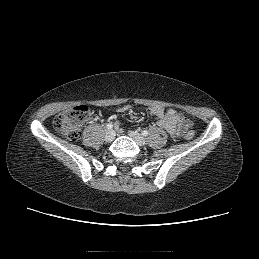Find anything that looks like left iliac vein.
Returning a JSON list of instances; mask_svg holds the SVG:
<instances>
[{
	"mask_svg": "<svg viewBox=\"0 0 259 259\" xmlns=\"http://www.w3.org/2000/svg\"><path fill=\"white\" fill-rule=\"evenodd\" d=\"M128 134L138 146H144L146 144V140L141 134L135 131H129Z\"/></svg>",
	"mask_w": 259,
	"mask_h": 259,
	"instance_id": "4c4485c4",
	"label": "left iliac vein"
}]
</instances>
